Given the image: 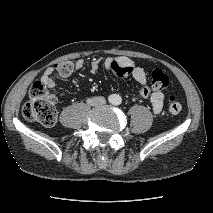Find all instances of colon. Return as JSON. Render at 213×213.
Masks as SVG:
<instances>
[{"label": "colon", "mask_w": 213, "mask_h": 213, "mask_svg": "<svg viewBox=\"0 0 213 213\" xmlns=\"http://www.w3.org/2000/svg\"><path fill=\"white\" fill-rule=\"evenodd\" d=\"M55 67L61 76H69L75 69L74 63L69 60L58 63ZM112 71L118 77H124L131 74L132 68L129 64L114 63ZM149 73L155 90L161 91L168 87L169 77L160 68L151 67ZM168 109L172 114L182 110L177 97H169ZM22 114L28 121L39 122L47 127L53 126L57 121L56 96L42 82H35L29 90V98L23 106Z\"/></svg>", "instance_id": "obj_1"}]
</instances>
